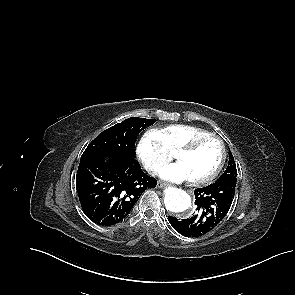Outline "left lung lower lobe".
<instances>
[{
  "label": "left lung lower lobe",
  "instance_id": "0a47b994",
  "mask_svg": "<svg viewBox=\"0 0 295 295\" xmlns=\"http://www.w3.org/2000/svg\"><path fill=\"white\" fill-rule=\"evenodd\" d=\"M236 181L221 180L195 190L198 214L186 220L168 217L172 227L184 236L198 237L216 227L228 213L235 193Z\"/></svg>",
  "mask_w": 295,
  "mask_h": 295
}]
</instances>
